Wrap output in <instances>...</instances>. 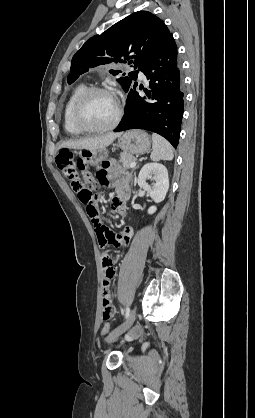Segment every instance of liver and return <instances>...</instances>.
<instances>
[{"label":"liver","mask_w":255,"mask_h":418,"mask_svg":"<svg viewBox=\"0 0 255 418\" xmlns=\"http://www.w3.org/2000/svg\"><path fill=\"white\" fill-rule=\"evenodd\" d=\"M121 133H108L103 136L91 137L85 139H75L62 142L58 149H86V150H97L106 149Z\"/></svg>","instance_id":"liver-1"}]
</instances>
